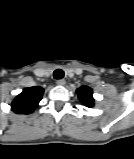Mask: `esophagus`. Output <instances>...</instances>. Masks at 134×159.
Instances as JSON below:
<instances>
[{"label": "esophagus", "mask_w": 134, "mask_h": 159, "mask_svg": "<svg viewBox=\"0 0 134 159\" xmlns=\"http://www.w3.org/2000/svg\"><path fill=\"white\" fill-rule=\"evenodd\" d=\"M56 83H57L58 85H65L66 81H65V79H58V80L56 81Z\"/></svg>", "instance_id": "esophagus-1"}]
</instances>
